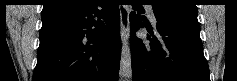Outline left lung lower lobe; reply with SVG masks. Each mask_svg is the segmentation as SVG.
<instances>
[{
    "label": "left lung lower lobe",
    "mask_w": 237,
    "mask_h": 81,
    "mask_svg": "<svg viewBox=\"0 0 237 81\" xmlns=\"http://www.w3.org/2000/svg\"><path fill=\"white\" fill-rule=\"evenodd\" d=\"M143 1L132 4L144 13ZM154 10V9H153ZM159 38L148 29V41L135 36L144 27L135 12L130 14V46L133 81H210L209 67L203 55L200 24L197 18L161 15L154 10Z\"/></svg>",
    "instance_id": "left-lung-lower-lobe-1"
}]
</instances>
